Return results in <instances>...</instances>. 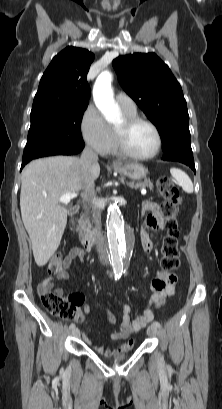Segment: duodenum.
<instances>
[{
  "instance_id": "duodenum-1",
  "label": "duodenum",
  "mask_w": 222,
  "mask_h": 409,
  "mask_svg": "<svg viewBox=\"0 0 222 409\" xmlns=\"http://www.w3.org/2000/svg\"><path fill=\"white\" fill-rule=\"evenodd\" d=\"M79 209H80L79 205H74L70 210L71 211V216L74 217L79 212ZM98 236H99V231L95 230L92 233H90L89 235H86L84 237L83 246L87 251L92 249V247H93L95 241L97 240Z\"/></svg>"
}]
</instances>
